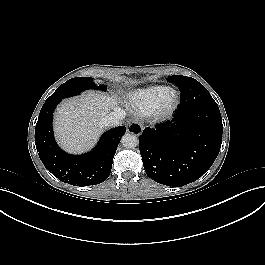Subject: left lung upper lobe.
Segmentation results:
<instances>
[{"instance_id": "1", "label": "left lung upper lobe", "mask_w": 265, "mask_h": 265, "mask_svg": "<svg viewBox=\"0 0 265 265\" xmlns=\"http://www.w3.org/2000/svg\"><path fill=\"white\" fill-rule=\"evenodd\" d=\"M168 81H170L171 83L176 84L178 87L182 84V83H188L191 81H195L198 82L197 80L191 78V77H186V76H169ZM199 83V82H198ZM206 91V96L204 98V101L207 103H215L214 99L211 97L210 93L207 91V89L205 88Z\"/></svg>"}]
</instances>
